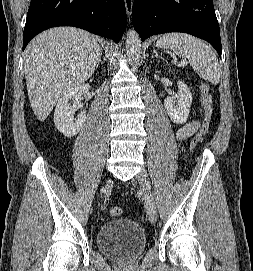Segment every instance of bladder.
Instances as JSON below:
<instances>
[{"label":"bladder","instance_id":"obj_1","mask_svg":"<svg viewBox=\"0 0 253 271\" xmlns=\"http://www.w3.org/2000/svg\"><path fill=\"white\" fill-rule=\"evenodd\" d=\"M95 241L101 253L120 261L139 257L147 246V238L141 226L127 218L102 224L97 230Z\"/></svg>","mask_w":253,"mask_h":271}]
</instances>
